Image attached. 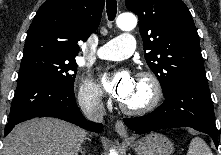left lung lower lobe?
<instances>
[{
    "instance_id": "0a47b994",
    "label": "left lung lower lobe",
    "mask_w": 221,
    "mask_h": 155,
    "mask_svg": "<svg viewBox=\"0 0 221 155\" xmlns=\"http://www.w3.org/2000/svg\"><path fill=\"white\" fill-rule=\"evenodd\" d=\"M136 134L170 127H192L210 135L218 147L213 104L206 77H191L179 82L153 112L125 118Z\"/></svg>"
}]
</instances>
